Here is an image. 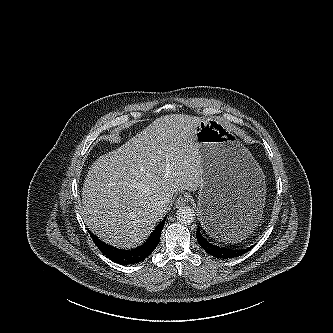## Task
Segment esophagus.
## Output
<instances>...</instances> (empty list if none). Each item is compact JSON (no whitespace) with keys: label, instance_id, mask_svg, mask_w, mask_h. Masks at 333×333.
Here are the masks:
<instances>
[{"label":"esophagus","instance_id":"34e87169","mask_svg":"<svg viewBox=\"0 0 333 333\" xmlns=\"http://www.w3.org/2000/svg\"><path fill=\"white\" fill-rule=\"evenodd\" d=\"M189 196L184 195V196H179L176 201H175V207L179 208L184 206L188 201H189Z\"/></svg>","mask_w":333,"mask_h":333}]
</instances>
